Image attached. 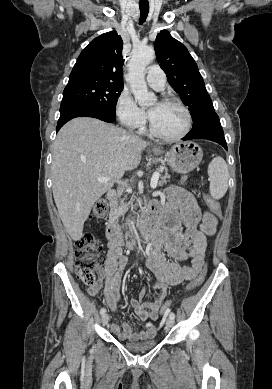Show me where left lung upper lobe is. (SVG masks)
<instances>
[{
	"instance_id": "obj_1",
	"label": "left lung upper lobe",
	"mask_w": 272,
	"mask_h": 389,
	"mask_svg": "<svg viewBox=\"0 0 272 389\" xmlns=\"http://www.w3.org/2000/svg\"><path fill=\"white\" fill-rule=\"evenodd\" d=\"M157 60L167 75L168 82L189 107L193 126L202 123L215 113L196 62L187 48L162 30L154 42Z\"/></svg>"
}]
</instances>
